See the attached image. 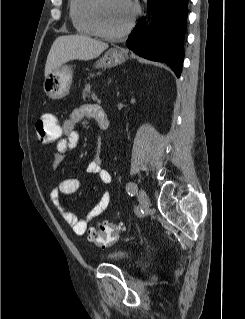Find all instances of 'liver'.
Segmentation results:
<instances>
[{"label": "liver", "instance_id": "obj_1", "mask_svg": "<svg viewBox=\"0 0 245 319\" xmlns=\"http://www.w3.org/2000/svg\"><path fill=\"white\" fill-rule=\"evenodd\" d=\"M108 44L86 35H63L56 38L45 65V77L70 60H90L98 57Z\"/></svg>", "mask_w": 245, "mask_h": 319}]
</instances>
